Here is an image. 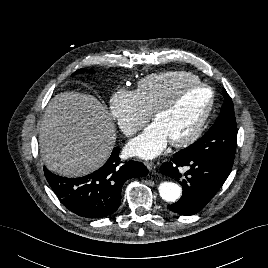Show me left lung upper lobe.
Segmentation results:
<instances>
[{
    "mask_svg": "<svg viewBox=\"0 0 268 268\" xmlns=\"http://www.w3.org/2000/svg\"><path fill=\"white\" fill-rule=\"evenodd\" d=\"M225 103L213 126L198 141L178 153L186 157L210 158L232 166L237 143L233 103L226 90Z\"/></svg>",
    "mask_w": 268,
    "mask_h": 268,
    "instance_id": "obj_1",
    "label": "left lung upper lobe"
}]
</instances>
